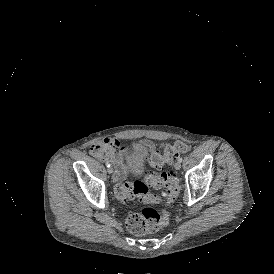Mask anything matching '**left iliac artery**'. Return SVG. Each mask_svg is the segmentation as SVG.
I'll list each match as a JSON object with an SVG mask.
<instances>
[{
	"label": "left iliac artery",
	"instance_id": "44dca946",
	"mask_svg": "<svg viewBox=\"0 0 274 274\" xmlns=\"http://www.w3.org/2000/svg\"><path fill=\"white\" fill-rule=\"evenodd\" d=\"M177 160H178L179 162H182L183 159H182V157L179 156V157L177 158Z\"/></svg>",
	"mask_w": 274,
	"mask_h": 274
}]
</instances>
